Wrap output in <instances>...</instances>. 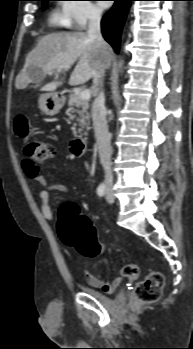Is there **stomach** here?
I'll return each mask as SVG.
<instances>
[{
	"label": "stomach",
	"instance_id": "obj_1",
	"mask_svg": "<svg viewBox=\"0 0 193 349\" xmlns=\"http://www.w3.org/2000/svg\"><path fill=\"white\" fill-rule=\"evenodd\" d=\"M38 103L43 114L52 116L62 108L63 99L56 92L44 93L40 95Z\"/></svg>",
	"mask_w": 193,
	"mask_h": 349
}]
</instances>
